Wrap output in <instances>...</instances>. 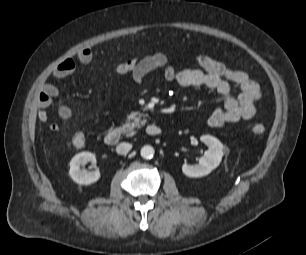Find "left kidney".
Masks as SVG:
<instances>
[{
  "label": "left kidney",
  "instance_id": "1",
  "mask_svg": "<svg viewBox=\"0 0 306 255\" xmlns=\"http://www.w3.org/2000/svg\"><path fill=\"white\" fill-rule=\"evenodd\" d=\"M200 140L207 145L208 149L200 158L199 164L182 165V172L188 177H203L208 175L221 162L223 157V144L215 137L202 135Z\"/></svg>",
  "mask_w": 306,
  "mask_h": 255
}]
</instances>
